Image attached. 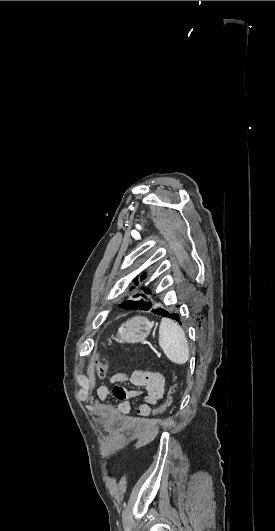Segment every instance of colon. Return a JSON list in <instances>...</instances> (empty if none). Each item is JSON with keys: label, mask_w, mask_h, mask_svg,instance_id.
Wrapping results in <instances>:
<instances>
[{"label": "colon", "mask_w": 275, "mask_h": 531, "mask_svg": "<svg viewBox=\"0 0 275 531\" xmlns=\"http://www.w3.org/2000/svg\"><path fill=\"white\" fill-rule=\"evenodd\" d=\"M93 368L95 369V374L98 380L103 381L107 376L108 371V360L105 358H97L94 361ZM176 390V383H173L167 392V396L161 398V400L157 403V405L154 408L153 414L151 415V418L153 420H156L157 418H160L162 414L165 411V408L167 405L171 403L172 396L174 395Z\"/></svg>", "instance_id": "colon-1"}]
</instances>
